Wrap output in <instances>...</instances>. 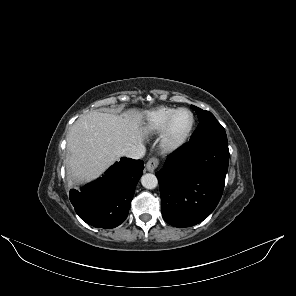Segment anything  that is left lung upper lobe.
Returning a JSON list of instances; mask_svg holds the SVG:
<instances>
[{
  "label": "left lung upper lobe",
  "instance_id": "obj_1",
  "mask_svg": "<svg viewBox=\"0 0 296 296\" xmlns=\"http://www.w3.org/2000/svg\"><path fill=\"white\" fill-rule=\"evenodd\" d=\"M198 115L199 124L190 138V142L215 136H226L225 129L216 120L214 115L196 106H191Z\"/></svg>",
  "mask_w": 296,
  "mask_h": 296
}]
</instances>
